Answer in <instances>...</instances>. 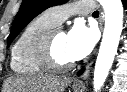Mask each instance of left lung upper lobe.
<instances>
[{
    "label": "left lung upper lobe",
    "mask_w": 127,
    "mask_h": 92,
    "mask_svg": "<svg viewBox=\"0 0 127 92\" xmlns=\"http://www.w3.org/2000/svg\"><path fill=\"white\" fill-rule=\"evenodd\" d=\"M67 1L68 0H23L14 19L7 47L10 46L11 42L33 18L49 7L64 4Z\"/></svg>",
    "instance_id": "1"
}]
</instances>
